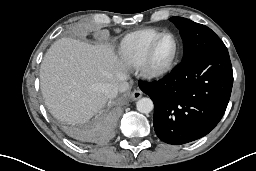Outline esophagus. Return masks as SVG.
Instances as JSON below:
<instances>
[{
	"mask_svg": "<svg viewBox=\"0 0 256 171\" xmlns=\"http://www.w3.org/2000/svg\"><path fill=\"white\" fill-rule=\"evenodd\" d=\"M142 91L140 89H135L132 93H131V98L133 100H138L139 98L142 97Z\"/></svg>",
	"mask_w": 256,
	"mask_h": 171,
	"instance_id": "obj_1",
	"label": "esophagus"
}]
</instances>
